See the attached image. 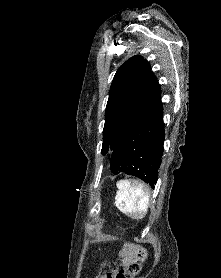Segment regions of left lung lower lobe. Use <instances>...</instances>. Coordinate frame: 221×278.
<instances>
[{
	"label": "left lung lower lobe",
	"mask_w": 221,
	"mask_h": 278,
	"mask_svg": "<svg viewBox=\"0 0 221 278\" xmlns=\"http://www.w3.org/2000/svg\"><path fill=\"white\" fill-rule=\"evenodd\" d=\"M163 143V108L159 87L151 102L112 151L111 171L114 174L125 172L137 176L154 188Z\"/></svg>",
	"instance_id": "obj_1"
}]
</instances>
